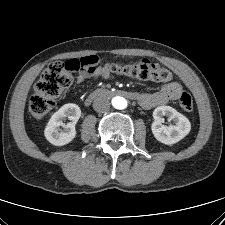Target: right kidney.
<instances>
[{
    "label": "right kidney",
    "mask_w": 225,
    "mask_h": 225,
    "mask_svg": "<svg viewBox=\"0 0 225 225\" xmlns=\"http://www.w3.org/2000/svg\"><path fill=\"white\" fill-rule=\"evenodd\" d=\"M81 116V109L76 104H65L57 112H55L45 130L46 139L55 146H63L70 143L76 136L75 124ZM68 118L69 123L62 122ZM63 127V129H61Z\"/></svg>",
    "instance_id": "1"
}]
</instances>
